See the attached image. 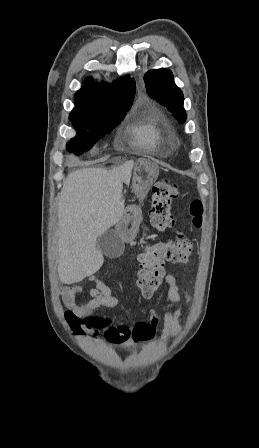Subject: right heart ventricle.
<instances>
[{
  "label": "right heart ventricle",
  "instance_id": "right-heart-ventricle-1",
  "mask_svg": "<svg viewBox=\"0 0 259 448\" xmlns=\"http://www.w3.org/2000/svg\"><path fill=\"white\" fill-rule=\"evenodd\" d=\"M135 142L147 149L172 148L173 138L163 123L154 117L136 120L129 125Z\"/></svg>",
  "mask_w": 259,
  "mask_h": 448
}]
</instances>
